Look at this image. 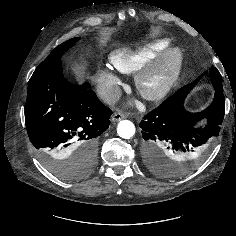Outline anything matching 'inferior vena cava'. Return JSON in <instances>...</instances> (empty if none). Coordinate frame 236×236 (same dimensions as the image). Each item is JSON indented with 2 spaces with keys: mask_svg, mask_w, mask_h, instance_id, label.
<instances>
[{
  "mask_svg": "<svg viewBox=\"0 0 236 236\" xmlns=\"http://www.w3.org/2000/svg\"><path fill=\"white\" fill-rule=\"evenodd\" d=\"M121 95L122 91L120 87L114 86L109 90L105 91L104 93H102L101 98L105 103L112 105L115 104L120 99Z\"/></svg>",
  "mask_w": 236,
  "mask_h": 236,
  "instance_id": "1",
  "label": "inferior vena cava"
}]
</instances>
